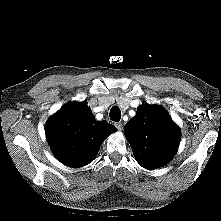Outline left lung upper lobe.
Here are the masks:
<instances>
[{
    "mask_svg": "<svg viewBox=\"0 0 221 221\" xmlns=\"http://www.w3.org/2000/svg\"><path fill=\"white\" fill-rule=\"evenodd\" d=\"M124 133L136 161L152 170L167 164L178 150L179 127L158 105H141L125 125Z\"/></svg>",
    "mask_w": 221,
    "mask_h": 221,
    "instance_id": "left-lung-upper-lobe-1",
    "label": "left lung upper lobe"
}]
</instances>
